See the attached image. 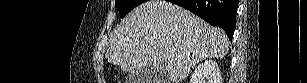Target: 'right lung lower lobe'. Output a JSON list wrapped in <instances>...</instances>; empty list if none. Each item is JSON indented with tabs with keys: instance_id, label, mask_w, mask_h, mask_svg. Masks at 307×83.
<instances>
[{
	"instance_id": "right-lung-lower-lobe-1",
	"label": "right lung lower lobe",
	"mask_w": 307,
	"mask_h": 83,
	"mask_svg": "<svg viewBox=\"0 0 307 83\" xmlns=\"http://www.w3.org/2000/svg\"><path fill=\"white\" fill-rule=\"evenodd\" d=\"M201 17L212 26H220L232 40L238 0H171Z\"/></svg>"
}]
</instances>
